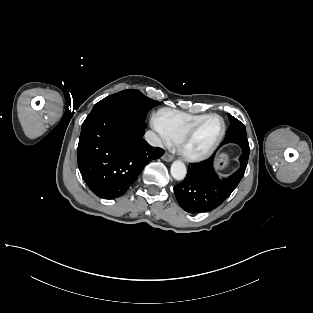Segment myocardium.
Masks as SVG:
<instances>
[{
  "label": "myocardium",
  "instance_id": "obj_1",
  "mask_svg": "<svg viewBox=\"0 0 313 313\" xmlns=\"http://www.w3.org/2000/svg\"><path fill=\"white\" fill-rule=\"evenodd\" d=\"M212 117H217L221 120L222 123V130L221 133L218 137V139L216 140V142L213 144V146L206 152L204 153H200V154H194V153H190L187 150V144L189 142V140L191 139V137L194 135V133L197 131V129L209 118ZM226 122L224 120V118L217 114V113H210L207 114L205 117H203L201 120H199L198 122H196L195 124H193L179 139L178 141V150L181 153V155L188 161H192V162H199V161H203L208 159L209 157H211L215 151L219 148V146L221 145L225 134H226Z\"/></svg>",
  "mask_w": 313,
  "mask_h": 313
}]
</instances>
